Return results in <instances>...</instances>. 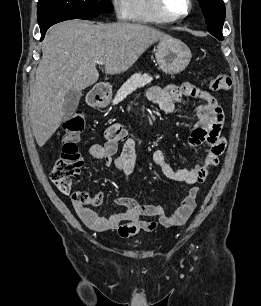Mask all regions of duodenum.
<instances>
[{
  "label": "duodenum",
  "instance_id": "1",
  "mask_svg": "<svg viewBox=\"0 0 261 306\" xmlns=\"http://www.w3.org/2000/svg\"><path fill=\"white\" fill-rule=\"evenodd\" d=\"M111 88L108 84H97L91 91L88 101L93 107L101 106L109 97Z\"/></svg>",
  "mask_w": 261,
  "mask_h": 306
}]
</instances>
